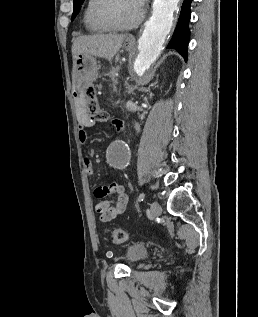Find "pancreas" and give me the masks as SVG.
<instances>
[{"mask_svg":"<svg viewBox=\"0 0 258 317\" xmlns=\"http://www.w3.org/2000/svg\"><path fill=\"white\" fill-rule=\"evenodd\" d=\"M110 83H111V89L114 90V92H119V87H118V78L117 77H111L110 78Z\"/></svg>","mask_w":258,"mask_h":317,"instance_id":"cf45deb5","label":"pancreas"}]
</instances>
